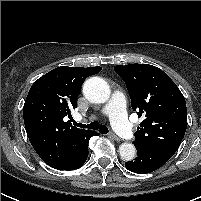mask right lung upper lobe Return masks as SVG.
Listing matches in <instances>:
<instances>
[{"label":"right lung upper lobe","mask_w":201,"mask_h":201,"mask_svg":"<svg viewBox=\"0 0 201 201\" xmlns=\"http://www.w3.org/2000/svg\"><path fill=\"white\" fill-rule=\"evenodd\" d=\"M101 67H58L32 85L23 108L29 140L49 166L68 163L80 151L86 137L94 132L71 125V109L84 80Z\"/></svg>","instance_id":"right-lung-upper-lobe-1"}]
</instances>
